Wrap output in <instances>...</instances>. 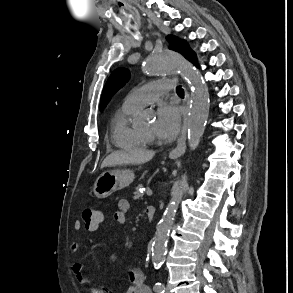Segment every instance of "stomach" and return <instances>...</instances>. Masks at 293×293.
<instances>
[{
    "label": "stomach",
    "mask_w": 293,
    "mask_h": 293,
    "mask_svg": "<svg viewBox=\"0 0 293 293\" xmlns=\"http://www.w3.org/2000/svg\"><path fill=\"white\" fill-rule=\"evenodd\" d=\"M133 171L127 169L103 172L93 185V193L99 198H107L114 192L128 187L134 180Z\"/></svg>",
    "instance_id": "obj_1"
}]
</instances>
